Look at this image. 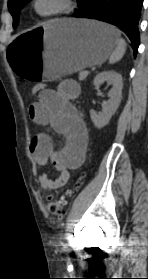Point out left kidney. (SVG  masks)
Instances as JSON below:
<instances>
[{
    "label": "left kidney",
    "mask_w": 148,
    "mask_h": 279,
    "mask_svg": "<svg viewBox=\"0 0 148 279\" xmlns=\"http://www.w3.org/2000/svg\"><path fill=\"white\" fill-rule=\"evenodd\" d=\"M104 82L112 85L111 90L108 92L110 99L103 102L101 113H97L94 110L90 111L91 120L98 129L103 128L109 123L111 117L118 109L122 98L123 81L119 73L115 71H104L99 73L94 79V85L96 87H99Z\"/></svg>",
    "instance_id": "5707ae66"
}]
</instances>
